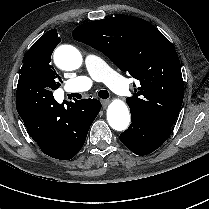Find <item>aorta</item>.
<instances>
[{"mask_svg":"<svg viewBox=\"0 0 209 209\" xmlns=\"http://www.w3.org/2000/svg\"><path fill=\"white\" fill-rule=\"evenodd\" d=\"M54 62L62 70H76L82 64V55L74 46L61 45L54 52ZM107 121L114 130L127 129L130 123L127 105L121 100H113L107 109Z\"/></svg>","mask_w":209,"mask_h":209,"instance_id":"1","label":"aorta"}]
</instances>
